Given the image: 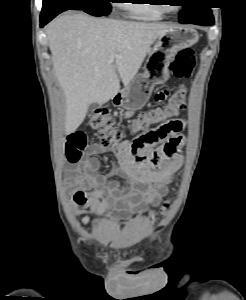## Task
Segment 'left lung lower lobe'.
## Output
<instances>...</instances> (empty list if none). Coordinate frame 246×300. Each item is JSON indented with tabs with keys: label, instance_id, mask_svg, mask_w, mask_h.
I'll return each instance as SVG.
<instances>
[{
	"label": "left lung lower lobe",
	"instance_id": "0a47b994",
	"mask_svg": "<svg viewBox=\"0 0 246 300\" xmlns=\"http://www.w3.org/2000/svg\"><path fill=\"white\" fill-rule=\"evenodd\" d=\"M189 23L203 25V26H209V25L214 24V18H213L212 14H209V15L203 16L197 20L190 21ZM183 24H187V23H183Z\"/></svg>",
	"mask_w": 246,
	"mask_h": 300
}]
</instances>
